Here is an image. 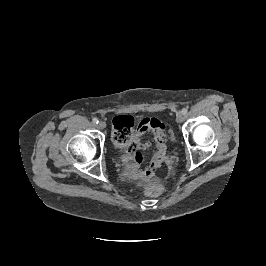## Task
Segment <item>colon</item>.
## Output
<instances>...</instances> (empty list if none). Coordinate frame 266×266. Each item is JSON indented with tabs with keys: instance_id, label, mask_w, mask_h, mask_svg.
<instances>
[{
	"instance_id": "colon-1",
	"label": "colon",
	"mask_w": 266,
	"mask_h": 266,
	"mask_svg": "<svg viewBox=\"0 0 266 266\" xmlns=\"http://www.w3.org/2000/svg\"><path fill=\"white\" fill-rule=\"evenodd\" d=\"M138 186L143 189L144 193L147 196H150V197H159L164 192V188L160 184H156V183L144 184L139 181Z\"/></svg>"
}]
</instances>
